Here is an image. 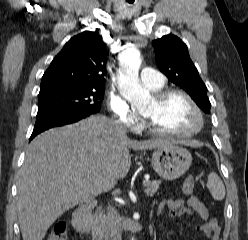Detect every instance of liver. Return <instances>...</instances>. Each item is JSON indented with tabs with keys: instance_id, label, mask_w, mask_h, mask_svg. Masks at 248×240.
<instances>
[{
	"instance_id": "liver-1",
	"label": "liver",
	"mask_w": 248,
	"mask_h": 240,
	"mask_svg": "<svg viewBox=\"0 0 248 240\" xmlns=\"http://www.w3.org/2000/svg\"><path fill=\"white\" fill-rule=\"evenodd\" d=\"M171 144L130 140L102 115L38 135L29 145L17 185L23 240H42L64 212L113 188L130 169L129 148Z\"/></svg>"
}]
</instances>
